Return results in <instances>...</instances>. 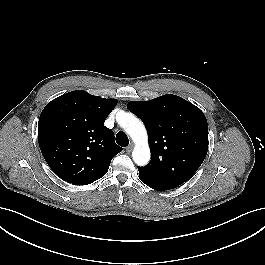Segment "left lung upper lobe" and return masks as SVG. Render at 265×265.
I'll return each mask as SVG.
<instances>
[{
	"mask_svg": "<svg viewBox=\"0 0 265 265\" xmlns=\"http://www.w3.org/2000/svg\"><path fill=\"white\" fill-rule=\"evenodd\" d=\"M128 108L143 120L149 135L151 160L138 167L140 178L166 190L189 180L208 151L204 113L170 94L145 102L131 101Z\"/></svg>",
	"mask_w": 265,
	"mask_h": 265,
	"instance_id": "5c2ea615",
	"label": "left lung upper lobe"
}]
</instances>
